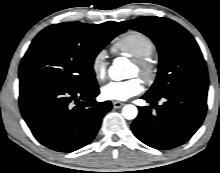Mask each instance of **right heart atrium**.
<instances>
[{"label": "right heart atrium", "instance_id": "right-heart-atrium-1", "mask_svg": "<svg viewBox=\"0 0 220 173\" xmlns=\"http://www.w3.org/2000/svg\"><path fill=\"white\" fill-rule=\"evenodd\" d=\"M107 59L103 50L98 51L92 59L91 69L98 81H103L107 77Z\"/></svg>", "mask_w": 220, "mask_h": 173}]
</instances>
